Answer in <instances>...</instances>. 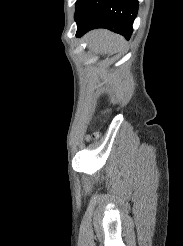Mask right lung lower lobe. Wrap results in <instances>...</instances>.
Masks as SVG:
<instances>
[{
  "label": "right lung lower lobe",
  "mask_w": 183,
  "mask_h": 246,
  "mask_svg": "<svg viewBox=\"0 0 183 246\" xmlns=\"http://www.w3.org/2000/svg\"><path fill=\"white\" fill-rule=\"evenodd\" d=\"M138 0H81L76 8V36L94 28H107L127 39L133 31Z\"/></svg>",
  "instance_id": "1"
}]
</instances>
